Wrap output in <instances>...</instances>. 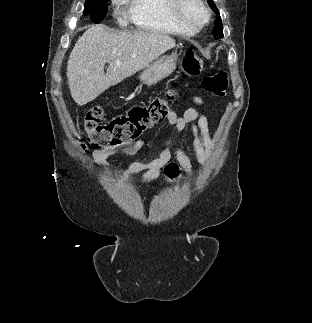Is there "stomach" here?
Instances as JSON below:
<instances>
[{
    "instance_id": "1",
    "label": "stomach",
    "mask_w": 312,
    "mask_h": 323,
    "mask_svg": "<svg viewBox=\"0 0 312 323\" xmlns=\"http://www.w3.org/2000/svg\"><path fill=\"white\" fill-rule=\"evenodd\" d=\"M177 56H162L157 62H153L150 66H147L139 76V80L147 86H152L156 82H160L163 78L170 76L174 70H176Z\"/></svg>"
}]
</instances>
